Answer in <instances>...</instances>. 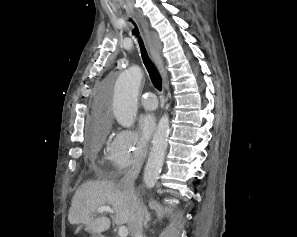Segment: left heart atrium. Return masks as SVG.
Returning <instances> with one entry per match:
<instances>
[{
    "label": "left heart atrium",
    "instance_id": "left-heart-atrium-1",
    "mask_svg": "<svg viewBox=\"0 0 297 237\" xmlns=\"http://www.w3.org/2000/svg\"><path fill=\"white\" fill-rule=\"evenodd\" d=\"M140 127L145 138H149L155 131L156 119L151 113L144 114L140 118Z\"/></svg>",
    "mask_w": 297,
    "mask_h": 237
}]
</instances>
